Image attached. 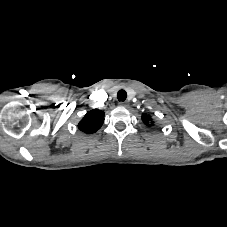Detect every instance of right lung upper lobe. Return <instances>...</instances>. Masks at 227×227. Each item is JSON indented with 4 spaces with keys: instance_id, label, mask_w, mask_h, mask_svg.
I'll return each instance as SVG.
<instances>
[{
    "instance_id": "1",
    "label": "right lung upper lobe",
    "mask_w": 227,
    "mask_h": 227,
    "mask_svg": "<svg viewBox=\"0 0 227 227\" xmlns=\"http://www.w3.org/2000/svg\"><path fill=\"white\" fill-rule=\"evenodd\" d=\"M104 122V112L98 109H93L84 116L79 122L78 128L87 133L92 134L100 129Z\"/></svg>"
}]
</instances>
